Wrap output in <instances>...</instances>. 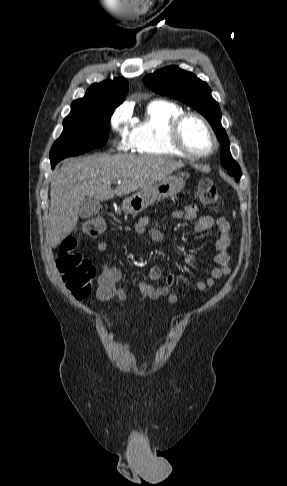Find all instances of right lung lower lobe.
Returning <instances> with one entry per match:
<instances>
[{
  "label": "right lung lower lobe",
  "mask_w": 287,
  "mask_h": 486,
  "mask_svg": "<svg viewBox=\"0 0 287 486\" xmlns=\"http://www.w3.org/2000/svg\"><path fill=\"white\" fill-rule=\"evenodd\" d=\"M54 167H55V165H52V168H54Z\"/></svg>",
  "instance_id": "right-lung-lower-lobe-1"
}]
</instances>
